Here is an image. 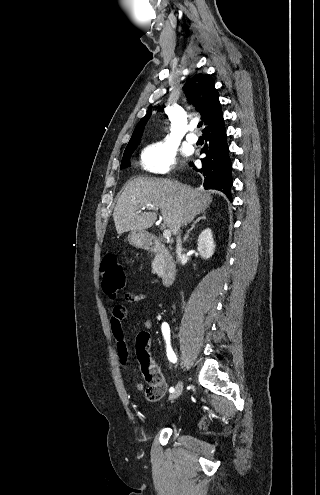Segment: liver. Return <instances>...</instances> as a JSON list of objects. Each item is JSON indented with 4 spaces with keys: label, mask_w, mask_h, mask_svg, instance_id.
Listing matches in <instances>:
<instances>
[{
    "label": "liver",
    "mask_w": 320,
    "mask_h": 495,
    "mask_svg": "<svg viewBox=\"0 0 320 495\" xmlns=\"http://www.w3.org/2000/svg\"><path fill=\"white\" fill-rule=\"evenodd\" d=\"M212 198L209 193L171 180L135 178L127 183L115 206L116 231L120 235L150 228L157 219L156 214L141 213L140 209L153 206L161 209L164 225L176 235L181 226H187L209 207Z\"/></svg>",
    "instance_id": "1"
}]
</instances>
